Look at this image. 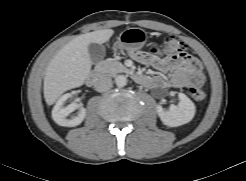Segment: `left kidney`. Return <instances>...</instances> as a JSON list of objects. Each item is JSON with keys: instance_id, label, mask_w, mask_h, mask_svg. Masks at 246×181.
Wrapping results in <instances>:
<instances>
[{"instance_id": "5707ae66", "label": "left kidney", "mask_w": 246, "mask_h": 181, "mask_svg": "<svg viewBox=\"0 0 246 181\" xmlns=\"http://www.w3.org/2000/svg\"><path fill=\"white\" fill-rule=\"evenodd\" d=\"M178 105H171L165 110L162 106L156 107L158 116L163 124L169 127H178L190 122L196 112L194 103L183 93H178Z\"/></svg>"}]
</instances>
